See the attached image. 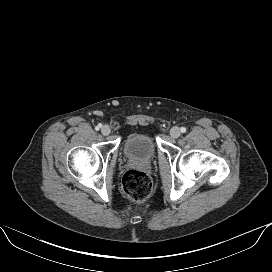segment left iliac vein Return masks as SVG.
<instances>
[{"label": "left iliac vein", "instance_id": "obj_1", "mask_svg": "<svg viewBox=\"0 0 272 272\" xmlns=\"http://www.w3.org/2000/svg\"><path fill=\"white\" fill-rule=\"evenodd\" d=\"M170 135L173 138H178L181 135V131L178 127L175 126V127L171 128Z\"/></svg>", "mask_w": 272, "mask_h": 272}]
</instances>
